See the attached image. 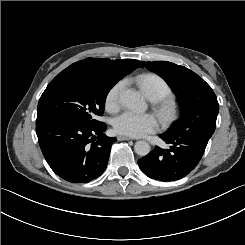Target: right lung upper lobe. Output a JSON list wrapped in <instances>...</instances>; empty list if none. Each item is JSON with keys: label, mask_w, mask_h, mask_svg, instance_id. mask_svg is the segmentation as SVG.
Returning a JSON list of instances; mask_svg holds the SVG:
<instances>
[{"label": "right lung upper lobe", "mask_w": 245, "mask_h": 245, "mask_svg": "<svg viewBox=\"0 0 245 245\" xmlns=\"http://www.w3.org/2000/svg\"><path fill=\"white\" fill-rule=\"evenodd\" d=\"M70 66H80L90 70L103 71L122 79L136 68L142 67L143 64L138 60L133 59L110 60L102 58H86Z\"/></svg>", "instance_id": "1"}]
</instances>
